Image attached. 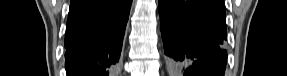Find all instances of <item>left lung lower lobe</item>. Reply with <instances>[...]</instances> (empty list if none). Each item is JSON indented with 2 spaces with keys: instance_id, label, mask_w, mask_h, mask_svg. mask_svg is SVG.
I'll list each match as a JSON object with an SVG mask.
<instances>
[{
  "instance_id": "1",
  "label": "left lung lower lobe",
  "mask_w": 287,
  "mask_h": 76,
  "mask_svg": "<svg viewBox=\"0 0 287 76\" xmlns=\"http://www.w3.org/2000/svg\"><path fill=\"white\" fill-rule=\"evenodd\" d=\"M164 54L185 76H223L227 51L223 0H159Z\"/></svg>"
}]
</instances>
